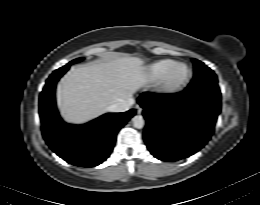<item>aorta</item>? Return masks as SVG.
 Here are the masks:
<instances>
[{
	"mask_svg": "<svg viewBox=\"0 0 260 205\" xmlns=\"http://www.w3.org/2000/svg\"><path fill=\"white\" fill-rule=\"evenodd\" d=\"M133 126L137 129H142L144 127L145 121L141 115H136L132 118Z\"/></svg>",
	"mask_w": 260,
	"mask_h": 205,
	"instance_id": "obj_1",
	"label": "aorta"
}]
</instances>
